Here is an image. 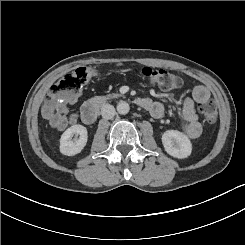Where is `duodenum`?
Returning a JSON list of instances; mask_svg holds the SVG:
<instances>
[{
    "label": "duodenum",
    "instance_id": "obj_1",
    "mask_svg": "<svg viewBox=\"0 0 245 245\" xmlns=\"http://www.w3.org/2000/svg\"><path fill=\"white\" fill-rule=\"evenodd\" d=\"M107 99L104 97H96L85 103L81 110V119L85 124H93L99 116L101 108L105 105ZM136 104L149 110L153 103L147 98H137Z\"/></svg>",
    "mask_w": 245,
    "mask_h": 245
}]
</instances>
